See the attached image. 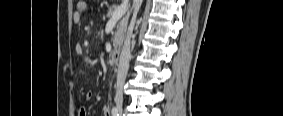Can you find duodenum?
Returning <instances> with one entry per match:
<instances>
[{
    "instance_id": "1",
    "label": "duodenum",
    "mask_w": 283,
    "mask_h": 116,
    "mask_svg": "<svg viewBox=\"0 0 283 116\" xmlns=\"http://www.w3.org/2000/svg\"><path fill=\"white\" fill-rule=\"evenodd\" d=\"M111 60L113 62L114 65H118L119 64V60H120V51L119 50H113L111 53Z\"/></svg>"
}]
</instances>
